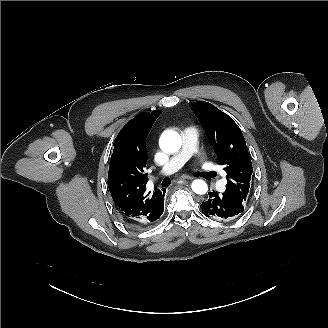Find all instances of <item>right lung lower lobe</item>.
<instances>
[{
    "label": "right lung lower lobe",
    "mask_w": 328,
    "mask_h": 328,
    "mask_svg": "<svg viewBox=\"0 0 328 328\" xmlns=\"http://www.w3.org/2000/svg\"><path fill=\"white\" fill-rule=\"evenodd\" d=\"M163 211H164V198H163V204H162V207H161V210H160V216L162 215ZM160 216H159V217H160ZM123 220H124L128 225L133 226V225H131L130 223H128L129 221H128L127 219H125L124 217H123Z\"/></svg>",
    "instance_id": "1"
}]
</instances>
